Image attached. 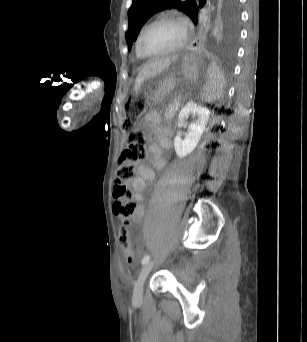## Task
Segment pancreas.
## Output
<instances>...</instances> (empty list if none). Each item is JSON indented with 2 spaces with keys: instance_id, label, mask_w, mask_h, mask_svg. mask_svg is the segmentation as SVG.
<instances>
[{
  "instance_id": "1",
  "label": "pancreas",
  "mask_w": 307,
  "mask_h": 342,
  "mask_svg": "<svg viewBox=\"0 0 307 342\" xmlns=\"http://www.w3.org/2000/svg\"><path fill=\"white\" fill-rule=\"evenodd\" d=\"M172 106H165L164 108V116L165 117H174L175 116V108L179 106V101L175 98L172 101Z\"/></svg>"
}]
</instances>
